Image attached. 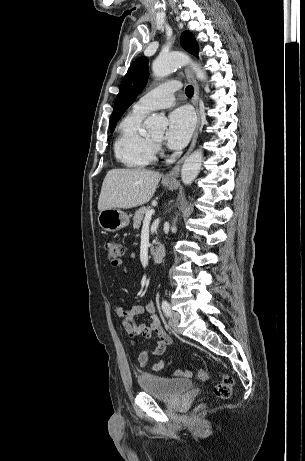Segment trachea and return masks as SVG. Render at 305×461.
Listing matches in <instances>:
<instances>
[{"instance_id":"trachea-1","label":"trachea","mask_w":305,"mask_h":461,"mask_svg":"<svg viewBox=\"0 0 305 461\" xmlns=\"http://www.w3.org/2000/svg\"><path fill=\"white\" fill-rule=\"evenodd\" d=\"M185 93L188 97H192L194 93V88L192 86H187L185 89Z\"/></svg>"}]
</instances>
